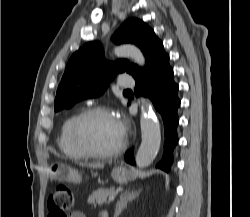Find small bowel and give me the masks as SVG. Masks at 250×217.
I'll return each mask as SVG.
<instances>
[{
  "label": "small bowel",
  "mask_w": 250,
  "mask_h": 217,
  "mask_svg": "<svg viewBox=\"0 0 250 217\" xmlns=\"http://www.w3.org/2000/svg\"><path fill=\"white\" fill-rule=\"evenodd\" d=\"M70 217H86L82 211H74L71 213Z\"/></svg>",
  "instance_id": "c3829d8e"
}]
</instances>
